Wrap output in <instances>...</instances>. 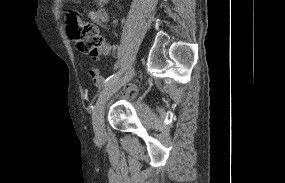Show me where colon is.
Segmentation results:
<instances>
[{
  "instance_id": "colon-1",
  "label": "colon",
  "mask_w": 285,
  "mask_h": 183,
  "mask_svg": "<svg viewBox=\"0 0 285 183\" xmlns=\"http://www.w3.org/2000/svg\"><path fill=\"white\" fill-rule=\"evenodd\" d=\"M66 30L69 38L84 53L93 55L104 41L95 26L80 23L75 16L68 17Z\"/></svg>"
}]
</instances>
